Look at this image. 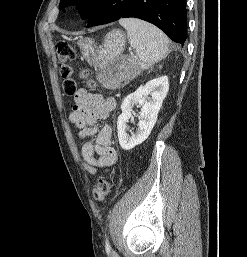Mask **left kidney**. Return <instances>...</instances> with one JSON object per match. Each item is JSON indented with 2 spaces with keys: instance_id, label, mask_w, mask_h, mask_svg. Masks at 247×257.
<instances>
[{
  "instance_id": "5707ae66",
  "label": "left kidney",
  "mask_w": 247,
  "mask_h": 257,
  "mask_svg": "<svg viewBox=\"0 0 247 257\" xmlns=\"http://www.w3.org/2000/svg\"><path fill=\"white\" fill-rule=\"evenodd\" d=\"M168 90V77L162 76L141 85L135 92L125 97L121 104L122 114L117 120L118 139L122 149L130 150L148 138ZM135 104L141 106L138 129L129 136L126 132L127 122L132 118V108Z\"/></svg>"
}]
</instances>
